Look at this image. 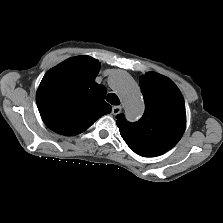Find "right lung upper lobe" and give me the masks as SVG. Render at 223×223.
<instances>
[{
    "instance_id": "1",
    "label": "right lung upper lobe",
    "mask_w": 223,
    "mask_h": 223,
    "mask_svg": "<svg viewBox=\"0 0 223 223\" xmlns=\"http://www.w3.org/2000/svg\"><path fill=\"white\" fill-rule=\"evenodd\" d=\"M101 63L89 56L72 57L43 77L36 102L43 122L56 133L73 136L111 112L106 88L95 82Z\"/></svg>"
}]
</instances>
